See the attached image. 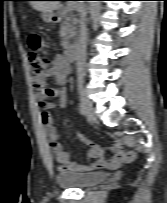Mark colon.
Here are the masks:
<instances>
[{"instance_id": "5ec220e1", "label": "colon", "mask_w": 167, "mask_h": 203, "mask_svg": "<svg viewBox=\"0 0 167 203\" xmlns=\"http://www.w3.org/2000/svg\"><path fill=\"white\" fill-rule=\"evenodd\" d=\"M28 59L31 71L35 74H42L50 68V60L43 52L44 49L49 48L50 44L43 42L37 35H32L28 41ZM127 161L134 157V153L125 151Z\"/></svg>"}]
</instances>
